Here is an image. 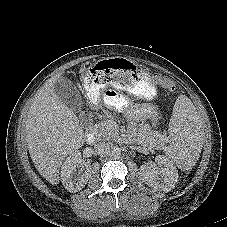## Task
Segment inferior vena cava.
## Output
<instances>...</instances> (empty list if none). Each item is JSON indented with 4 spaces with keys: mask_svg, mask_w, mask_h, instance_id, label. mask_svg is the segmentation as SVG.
<instances>
[{
    "mask_svg": "<svg viewBox=\"0 0 227 227\" xmlns=\"http://www.w3.org/2000/svg\"><path fill=\"white\" fill-rule=\"evenodd\" d=\"M95 152L100 156H105L110 153V146L106 142H99L95 145Z\"/></svg>",
    "mask_w": 227,
    "mask_h": 227,
    "instance_id": "602c4592",
    "label": "inferior vena cava"
}]
</instances>
